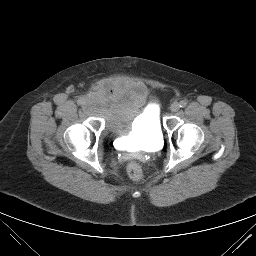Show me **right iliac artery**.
<instances>
[{
    "mask_svg": "<svg viewBox=\"0 0 256 256\" xmlns=\"http://www.w3.org/2000/svg\"><path fill=\"white\" fill-rule=\"evenodd\" d=\"M84 103H85L84 98H79V99L77 100V104H78V105H82V104H84Z\"/></svg>",
    "mask_w": 256,
    "mask_h": 256,
    "instance_id": "right-iliac-artery-1",
    "label": "right iliac artery"
}]
</instances>
